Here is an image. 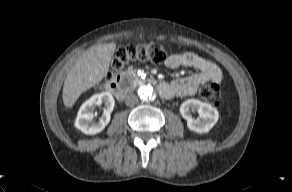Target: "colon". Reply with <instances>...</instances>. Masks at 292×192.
<instances>
[{
    "instance_id": "obj_1",
    "label": "colon",
    "mask_w": 292,
    "mask_h": 192,
    "mask_svg": "<svg viewBox=\"0 0 292 192\" xmlns=\"http://www.w3.org/2000/svg\"><path fill=\"white\" fill-rule=\"evenodd\" d=\"M166 59L164 46L159 42H148L141 44H129L119 48L116 52L108 79L122 70L128 63L142 61L150 63H161ZM200 96L211 104L218 105L221 102V90L218 84L211 83L200 90Z\"/></svg>"
}]
</instances>
